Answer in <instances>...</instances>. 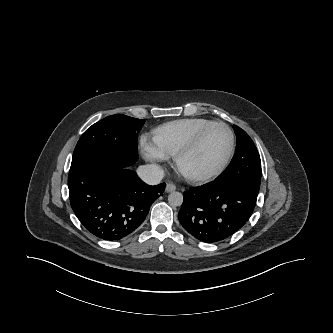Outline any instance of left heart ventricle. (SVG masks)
Listing matches in <instances>:
<instances>
[{
    "label": "left heart ventricle",
    "mask_w": 333,
    "mask_h": 333,
    "mask_svg": "<svg viewBox=\"0 0 333 333\" xmlns=\"http://www.w3.org/2000/svg\"><path fill=\"white\" fill-rule=\"evenodd\" d=\"M229 145L230 139L227 131L223 127L216 126L205 135L199 146L183 160L182 167L190 173H210L223 162Z\"/></svg>",
    "instance_id": "1"
}]
</instances>
